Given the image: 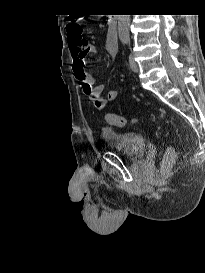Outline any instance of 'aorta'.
I'll use <instances>...</instances> for the list:
<instances>
[{"instance_id": "obj_1", "label": "aorta", "mask_w": 205, "mask_h": 273, "mask_svg": "<svg viewBox=\"0 0 205 273\" xmlns=\"http://www.w3.org/2000/svg\"><path fill=\"white\" fill-rule=\"evenodd\" d=\"M130 15H118V34L123 42L129 41Z\"/></svg>"}]
</instances>
